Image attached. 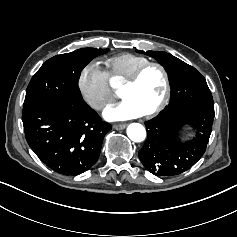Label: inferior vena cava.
<instances>
[{"instance_id":"602c4592","label":"inferior vena cava","mask_w":237,"mask_h":237,"mask_svg":"<svg viewBox=\"0 0 237 237\" xmlns=\"http://www.w3.org/2000/svg\"><path fill=\"white\" fill-rule=\"evenodd\" d=\"M105 105H106L105 101H98V102L94 103L93 108L99 110V109H102L103 107H105Z\"/></svg>"}]
</instances>
